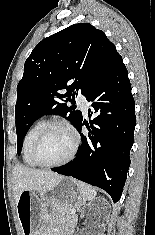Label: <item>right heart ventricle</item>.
Returning <instances> with one entry per match:
<instances>
[{"instance_id":"e07e8e85","label":"right heart ventricle","mask_w":155,"mask_h":235,"mask_svg":"<svg viewBox=\"0 0 155 235\" xmlns=\"http://www.w3.org/2000/svg\"><path fill=\"white\" fill-rule=\"evenodd\" d=\"M46 119L37 120L25 133L22 140V160L23 162L30 167H36L37 164L31 158V148L33 142L39 132L45 127L47 124Z\"/></svg>"}]
</instances>
